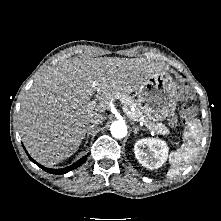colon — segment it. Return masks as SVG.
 <instances>
[{"label": "colon", "instance_id": "obj_1", "mask_svg": "<svg viewBox=\"0 0 221 221\" xmlns=\"http://www.w3.org/2000/svg\"><path fill=\"white\" fill-rule=\"evenodd\" d=\"M191 96H192V94H191L190 90L186 86H183L181 89V97L184 100H187V99L191 98ZM195 114H196V110L193 107H184L180 111V115H181L182 121L184 123H187L191 119H193Z\"/></svg>", "mask_w": 221, "mask_h": 221}]
</instances>
